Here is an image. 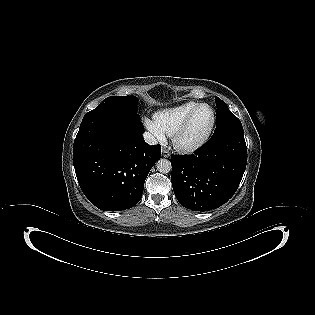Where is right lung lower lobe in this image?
<instances>
[{
    "mask_svg": "<svg viewBox=\"0 0 315 315\" xmlns=\"http://www.w3.org/2000/svg\"><path fill=\"white\" fill-rule=\"evenodd\" d=\"M140 116L115 108L85 114L73 146L78 183L97 208L126 210L142 197L145 179L161 157L143 139Z\"/></svg>",
    "mask_w": 315,
    "mask_h": 315,
    "instance_id": "obj_1",
    "label": "right lung lower lobe"
}]
</instances>
